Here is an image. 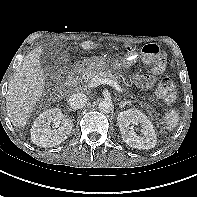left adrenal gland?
<instances>
[{
    "instance_id": "left-adrenal-gland-1",
    "label": "left adrenal gland",
    "mask_w": 197,
    "mask_h": 197,
    "mask_svg": "<svg viewBox=\"0 0 197 197\" xmlns=\"http://www.w3.org/2000/svg\"><path fill=\"white\" fill-rule=\"evenodd\" d=\"M119 108H124L126 105H131V101H121L118 103Z\"/></svg>"
}]
</instances>
